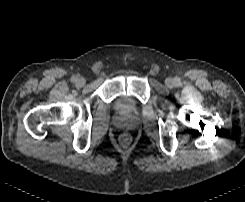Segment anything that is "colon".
<instances>
[{
	"label": "colon",
	"instance_id": "5ec220e1",
	"mask_svg": "<svg viewBox=\"0 0 245 202\" xmlns=\"http://www.w3.org/2000/svg\"><path fill=\"white\" fill-rule=\"evenodd\" d=\"M122 140L127 143V142H130L131 138L128 134H124L122 137Z\"/></svg>",
	"mask_w": 245,
	"mask_h": 202
}]
</instances>
